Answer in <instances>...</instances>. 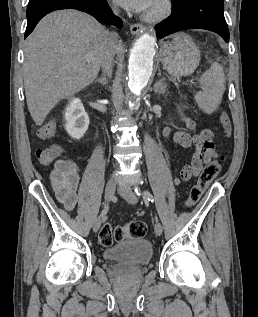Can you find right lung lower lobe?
<instances>
[{
	"mask_svg": "<svg viewBox=\"0 0 258 317\" xmlns=\"http://www.w3.org/2000/svg\"><path fill=\"white\" fill-rule=\"evenodd\" d=\"M60 9H77L94 16L100 23L115 24L122 27V21L116 17L107 0H29L27 7L26 38L37 23L48 13Z\"/></svg>",
	"mask_w": 258,
	"mask_h": 317,
	"instance_id": "right-lung-lower-lobe-1",
	"label": "right lung lower lobe"
}]
</instances>
